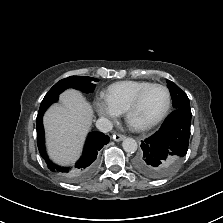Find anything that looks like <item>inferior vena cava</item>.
<instances>
[{
    "instance_id": "inferior-vena-cava-1",
    "label": "inferior vena cava",
    "mask_w": 223,
    "mask_h": 223,
    "mask_svg": "<svg viewBox=\"0 0 223 223\" xmlns=\"http://www.w3.org/2000/svg\"><path fill=\"white\" fill-rule=\"evenodd\" d=\"M96 127L104 133H107L112 130L113 124L107 118L101 117L96 121Z\"/></svg>"
}]
</instances>
